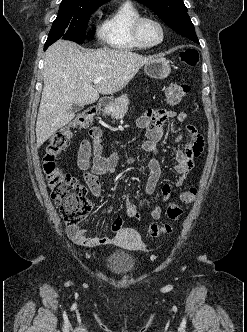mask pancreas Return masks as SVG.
Here are the masks:
<instances>
[{"mask_svg":"<svg viewBox=\"0 0 247 332\" xmlns=\"http://www.w3.org/2000/svg\"><path fill=\"white\" fill-rule=\"evenodd\" d=\"M129 99L126 94L120 96L115 100L112 106L105 111L106 115H110L112 119H122L127 113Z\"/></svg>","mask_w":247,"mask_h":332,"instance_id":"pancreas-1","label":"pancreas"}]
</instances>
